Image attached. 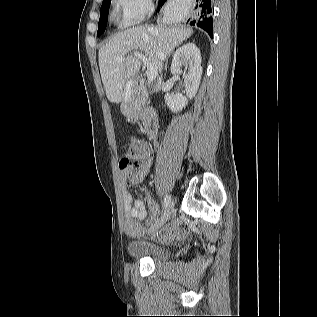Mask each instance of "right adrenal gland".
Wrapping results in <instances>:
<instances>
[{
    "instance_id": "obj_1",
    "label": "right adrenal gland",
    "mask_w": 317,
    "mask_h": 317,
    "mask_svg": "<svg viewBox=\"0 0 317 317\" xmlns=\"http://www.w3.org/2000/svg\"><path fill=\"white\" fill-rule=\"evenodd\" d=\"M165 69L167 70V63H166Z\"/></svg>"
}]
</instances>
